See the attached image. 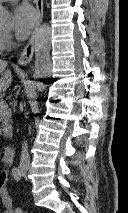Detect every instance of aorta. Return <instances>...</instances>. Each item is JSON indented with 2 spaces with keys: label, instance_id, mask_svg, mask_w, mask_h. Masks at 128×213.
Returning <instances> with one entry per match:
<instances>
[{
  "label": "aorta",
  "instance_id": "1",
  "mask_svg": "<svg viewBox=\"0 0 128 213\" xmlns=\"http://www.w3.org/2000/svg\"><path fill=\"white\" fill-rule=\"evenodd\" d=\"M9 12L0 5V27L9 23ZM52 29L49 24L44 23L35 33L34 50H35V72L34 78L46 79L51 76L52 62L50 57ZM46 85L39 83L38 91H43Z\"/></svg>",
  "mask_w": 128,
  "mask_h": 213
}]
</instances>
